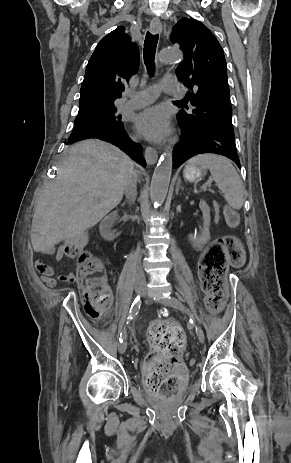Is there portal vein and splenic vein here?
Returning <instances> with one entry per match:
<instances>
[{
    "instance_id": "18ae733b",
    "label": "portal vein and splenic vein",
    "mask_w": 291,
    "mask_h": 463,
    "mask_svg": "<svg viewBox=\"0 0 291 463\" xmlns=\"http://www.w3.org/2000/svg\"><path fill=\"white\" fill-rule=\"evenodd\" d=\"M211 181H208V183L204 186V190H206L207 185H210Z\"/></svg>"
}]
</instances>
